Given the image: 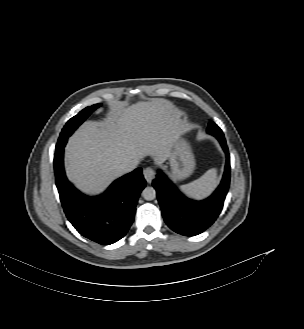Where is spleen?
<instances>
[{
	"label": "spleen",
	"mask_w": 304,
	"mask_h": 329,
	"mask_svg": "<svg viewBox=\"0 0 304 329\" xmlns=\"http://www.w3.org/2000/svg\"><path fill=\"white\" fill-rule=\"evenodd\" d=\"M217 183L216 169H210L205 172L199 179L182 185L180 189L189 197L202 199L208 196L215 188Z\"/></svg>",
	"instance_id": "3e777b00"
}]
</instances>
